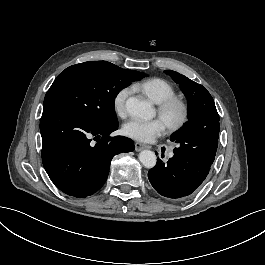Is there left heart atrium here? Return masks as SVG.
<instances>
[{
	"mask_svg": "<svg viewBox=\"0 0 265 265\" xmlns=\"http://www.w3.org/2000/svg\"><path fill=\"white\" fill-rule=\"evenodd\" d=\"M165 130L164 123L160 119L149 121L131 119L123 126V133L136 141L150 142L160 136Z\"/></svg>",
	"mask_w": 265,
	"mask_h": 265,
	"instance_id": "left-heart-atrium-1",
	"label": "left heart atrium"
}]
</instances>
